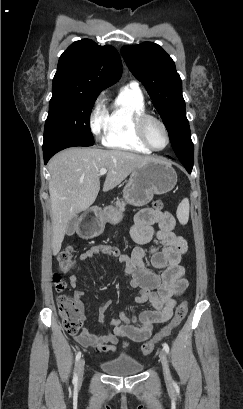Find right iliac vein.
Listing matches in <instances>:
<instances>
[{"instance_id":"1","label":"right iliac vein","mask_w":243,"mask_h":409,"mask_svg":"<svg viewBox=\"0 0 243 409\" xmlns=\"http://www.w3.org/2000/svg\"><path fill=\"white\" fill-rule=\"evenodd\" d=\"M84 366H85V361L84 359H81L79 364H78V379L82 380L83 374H84Z\"/></svg>"}]
</instances>
